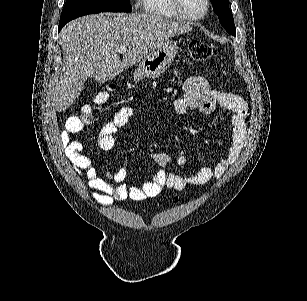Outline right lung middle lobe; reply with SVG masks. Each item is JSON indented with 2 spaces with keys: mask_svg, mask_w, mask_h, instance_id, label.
Here are the masks:
<instances>
[{
  "mask_svg": "<svg viewBox=\"0 0 307 301\" xmlns=\"http://www.w3.org/2000/svg\"><path fill=\"white\" fill-rule=\"evenodd\" d=\"M129 0H67L61 13L59 30L72 19L100 12H131Z\"/></svg>",
  "mask_w": 307,
  "mask_h": 301,
  "instance_id": "dd1d6c3e",
  "label": "right lung middle lobe"
}]
</instances>
